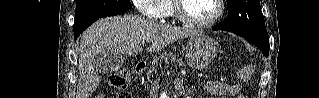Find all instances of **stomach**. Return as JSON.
<instances>
[{
	"mask_svg": "<svg viewBox=\"0 0 319 98\" xmlns=\"http://www.w3.org/2000/svg\"><path fill=\"white\" fill-rule=\"evenodd\" d=\"M218 43L203 34L191 36L186 48L185 58L195 70L206 67L216 56Z\"/></svg>",
	"mask_w": 319,
	"mask_h": 98,
	"instance_id": "obj_1",
	"label": "stomach"
}]
</instances>
